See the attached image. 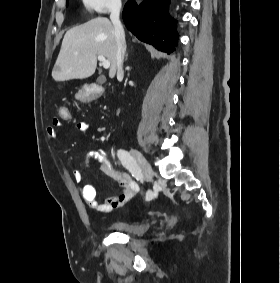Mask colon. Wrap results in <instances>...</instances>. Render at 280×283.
Masks as SVG:
<instances>
[{"label": "colon", "instance_id": "1", "mask_svg": "<svg viewBox=\"0 0 280 283\" xmlns=\"http://www.w3.org/2000/svg\"><path fill=\"white\" fill-rule=\"evenodd\" d=\"M104 92V87L98 86H90V87H82V92L80 94H76L75 98L80 99L82 101H88L92 98H97ZM69 105H74L70 103ZM68 105H60L58 108V119L60 122H67L68 119H71L74 116V111L72 108H67Z\"/></svg>", "mask_w": 280, "mask_h": 283}]
</instances>
